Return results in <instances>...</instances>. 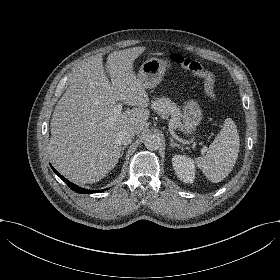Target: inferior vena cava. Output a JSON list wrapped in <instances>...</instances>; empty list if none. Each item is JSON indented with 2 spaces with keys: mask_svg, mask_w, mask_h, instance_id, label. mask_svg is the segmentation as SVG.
<instances>
[{
  "mask_svg": "<svg viewBox=\"0 0 280 280\" xmlns=\"http://www.w3.org/2000/svg\"><path fill=\"white\" fill-rule=\"evenodd\" d=\"M116 137L120 144L128 145L134 139L135 133L130 130L119 131L117 132Z\"/></svg>",
  "mask_w": 280,
  "mask_h": 280,
  "instance_id": "602c4592",
  "label": "inferior vena cava"
}]
</instances>
